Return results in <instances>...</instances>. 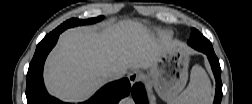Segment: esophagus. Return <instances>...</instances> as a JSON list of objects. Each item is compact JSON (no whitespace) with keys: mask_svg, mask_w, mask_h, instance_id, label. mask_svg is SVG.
Listing matches in <instances>:
<instances>
[{"mask_svg":"<svg viewBox=\"0 0 252 104\" xmlns=\"http://www.w3.org/2000/svg\"><path fill=\"white\" fill-rule=\"evenodd\" d=\"M140 77H141V72L138 70H134L128 75V79H129L131 85H133L135 82H137L140 79Z\"/></svg>","mask_w":252,"mask_h":104,"instance_id":"esophagus-1","label":"esophagus"}]
</instances>
